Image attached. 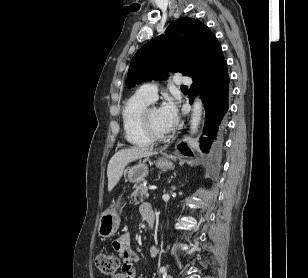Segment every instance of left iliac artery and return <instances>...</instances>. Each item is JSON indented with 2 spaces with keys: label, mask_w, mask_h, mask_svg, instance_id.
<instances>
[{
  "label": "left iliac artery",
  "mask_w": 308,
  "mask_h": 278,
  "mask_svg": "<svg viewBox=\"0 0 308 278\" xmlns=\"http://www.w3.org/2000/svg\"><path fill=\"white\" fill-rule=\"evenodd\" d=\"M160 272H161L163 278H166V277H167V269H166V267H164V266L161 267V268H160Z\"/></svg>",
  "instance_id": "left-iliac-artery-1"
}]
</instances>
